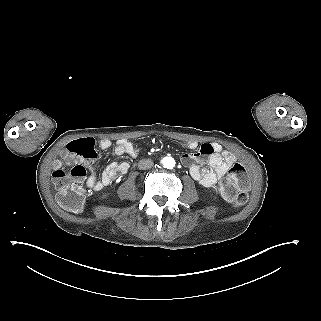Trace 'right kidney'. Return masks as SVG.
<instances>
[{"label": "right kidney", "instance_id": "ca27d5eb", "mask_svg": "<svg viewBox=\"0 0 321 321\" xmlns=\"http://www.w3.org/2000/svg\"><path fill=\"white\" fill-rule=\"evenodd\" d=\"M107 196H108V194L104 193V194H102L101 199L105 200V199H107Z\"/></svg>", "mask_w": 321, "mask_h": 321}]
</instances>
